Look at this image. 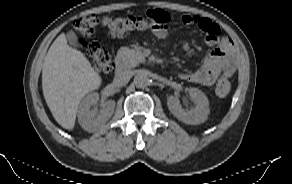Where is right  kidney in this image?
Masks as SVG:
<instances>
[{
	"instance_id": "obj_1",
	"label": "right kidney",
	"mask_w": 292,
	"mask_h": 184,
	"mask_svg": "<svg viewBox=\"0 0 292 184\" xmlns=\"http://www.w3.org/2000/svg\"><path fill=\"white\" fill-rule=\"evenodd\" d=\"M99 101V94L93 92L81 101L78 109V121L82 128L88 132H95L105 124L114 113L115 101L109 100L102 105L100 111L91 106Z\"/></svg>"
}]
</instances>
